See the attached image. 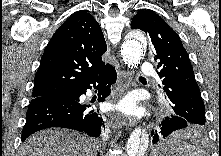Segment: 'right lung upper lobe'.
Wrapping results in <instances>:
<instances>
[{
  "mask_svg": "<svg viewBox=\"0 0 221 156\" xmlns=\"http://www.w3.org/2000/svg\"><path fill=\"white\" fill-rule=\"evenodd\" d=\"M101 27L86 11L72 14L50 39L34 79L33 98L68 94L109 64Z\"/></svg>",
  "mask_w": 221,
  "mask_h": 156,
  "instance_id": "obj_1",
  "label": "right lung upper lobe"
}]
</instances>
